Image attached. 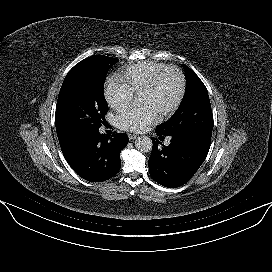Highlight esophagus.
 <instances>
[{"label":"esophagus","mask_w":272,"mask_h":272,"mask_svg":"<svg viewBox=\"0 0 272 272\" xmlns=\"http://www.w3.org/2000/svg\"><path fill=\"white\" fill-rule=\"evenodd\" d=\"M128 137H129V140L132 141V140H135L138 136L135 134H128Z\"/></svg>","instance_id":"esophagus-1"}]
</instances>
